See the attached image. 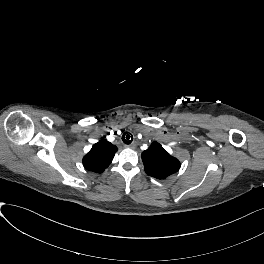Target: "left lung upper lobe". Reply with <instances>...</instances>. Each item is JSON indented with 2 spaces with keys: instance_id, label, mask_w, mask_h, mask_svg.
Listing matches in <instances>:
<instances>
[{
  "instance_id": "1",
  "label": "left lung upper lobe",
  "mask_w": 264,
  "mask_h": 264,
  "mask_svg": "<svg viewBox=\"0 0 264 264\" xmlns=\"http://www.w3.org/2000/svg\"><path fill=\"white\" fill-rule=\"evenodd\" d=\"M145 172L160 180L176 173L180 169V162L157 142L142 153Z\"/></svg>"
}]
</instances>
